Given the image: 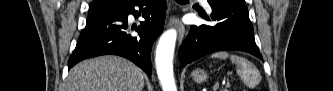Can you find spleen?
I'll return each instance as SVG.
<instances>
[{
	"label": "spleen",
	"mask_w": 333,
	"mask_h": 91,
	"mask_svg": "<svg viewBox=\"0 0 333 91\" xmlns=\"http://www.w3.org/2000/svg\"><path fill=\"white\" fill-rule=\"evenodd\" d=\"M212 58L218 59H227L230 58L232 63L236 65V72L242 78V81L249 88H254L261 82V74L259 70L246 58L237 56V55H229L225 51L216 52L211 55Z\"/></svg>",
	"instance_id": "1"
}]
</instances>
